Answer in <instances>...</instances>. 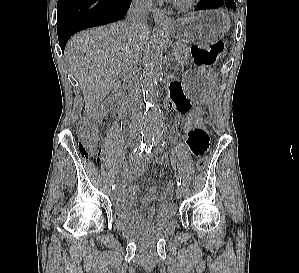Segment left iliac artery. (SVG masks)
I'll return each mask as SVG.
<instances>
[{"instance_id": "left-iliac-artery-1", "label": "left iliac artery", "mask_w": 299, "mask_h": 273, "mask_svg": "<svg viewBox=\"0 0 299 273\" xmlns=\"http://www.w3.org/2000/svg\"><path fill=\"white\" fill-rule=\"evenodd\" d=\"M159 142V139L153 140L152 142H148L145 148V151L147 153H151L152 147L154 146V144H157ZM176 177V182L178 186H181V178L179 176H175Z\"/></svg>"}]
</instances>
